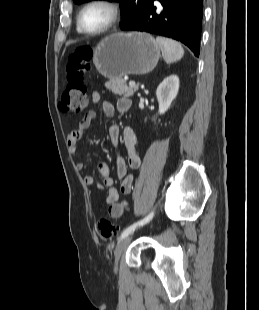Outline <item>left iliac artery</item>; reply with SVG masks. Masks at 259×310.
<instances>
[{
	"label": "left iliac artery",
	"instance_id": "left-iliac-artery-1",
	"mask_svg": "<svg viewBox=\"0 0 259 310\" xmlns=\"http://www.w3.org/2000/svg\"><path fill=\"white\" fill-rule=\"evenodd\" d=\"M154 216V212L152 211L149 215H147L142 220L133 223L129 227H127L121 234L119 239H123L124 237L128 236L132 231H134L138 226L145 225L148 223Z\"/></svg>",
	"mask_w": 259,
	"mask_h": 310
}]
</instances>
